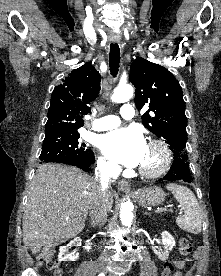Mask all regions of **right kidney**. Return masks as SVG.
Masks as SVG:
<instances>
[{
  "instance_id": "1",
  "label": "right kidney",
  "mask_w": 221,
  "mask_h": 276,
  "mask_svg": "<svg viewBox=\"0 0 221 276\" xmlns=\"http://www.w3.org/2000/svg\"><path fill=\"white\" fill-rule=\"evenodd\" d=\"M81 242L82 240L79 237H76L66 246H61L58 254L59 261H77L79 258V254L75 251L69 252V249L73 246H81Z\"/></svg>"
}]
</instances>
